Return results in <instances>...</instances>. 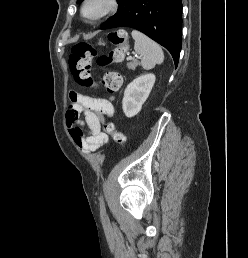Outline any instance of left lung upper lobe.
Here are the masks:
<instances>
[{
    "label": "left lung upper lobe",
    "mask_w": 248,
    "mask_h": 258,
    "mask_svg": "<svg viewBox=\"0 0 248 258\" xmlns=\"http://www.w3.org/2000/svg\"><path fill=\"white\" fill-rule=\"evenodd\" d=\"M83 0H77V3H80V2H82ZM129 2V0H117V3H118V5H119V11H121L126 5H127V3ZM116 15V14H115ZM114 15V16H115ZM113 16V17H114ZM112 18V17H111ZM110 18V19H111Z\"/></svg>",
    "instance_id": "obj_1"
}]
</instances>
